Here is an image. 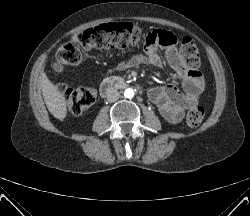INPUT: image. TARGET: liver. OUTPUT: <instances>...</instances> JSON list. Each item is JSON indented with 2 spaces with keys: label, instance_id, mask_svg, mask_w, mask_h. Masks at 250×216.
Returning a JSON list of instances; mask_svg holds the SVG:
<instances>
[{
  "label": "liver",
  "instance_id": "obj_1",
  "mask_svg": "<svg viewBox=\"0 0 250 216\" xmlns=\"http://www.w3.org/2000/svg\"><path fill=\"white\" fill-rule=\"evenodd\" d=\"M43 98L49 112L57 119L64 120L67 115L65 97L57 87L48 79L46 74L40 78Z\"/></svg>",
  "mask_w": 250,
  "mask_h": 216
}]
</instances>
